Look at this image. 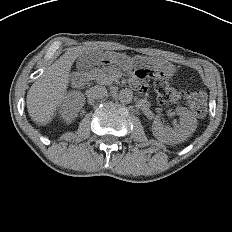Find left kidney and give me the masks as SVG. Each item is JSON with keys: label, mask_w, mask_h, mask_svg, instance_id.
I'll list each match as a JSON object with an SVG mask.
<instances>
[{"label": "left kidney", "mask_w": 232, "mask_h": 232, "mask_svg": "<svg viewBox=\"0 0 232 232\" xmlns=\"http://www.w3.org/2000/svg\"><path fill=\"white\" fill-rule=\"evenodd\" d=\"M176 112L180 115V123L171 127L165 123L164 116H157L153 121L152 129L156 136L164 138L168 141H181L197 127V119L193 112L185 107L178 106Z\"/></svg>", "instance_id": "1"}]
</instances>
